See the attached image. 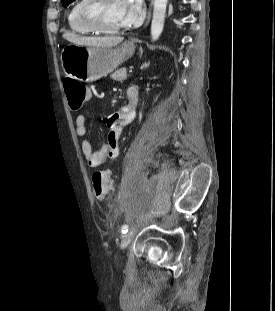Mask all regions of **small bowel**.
Wrapping results in <instances>:
<instances>
[{
  "mask_svg": "<svg viewBox=\"0 0 275 311\" xmlns=\"http://www.w3.org/2000/svg\"><path fill=\"white\" fill-rule=\"evenodd\" d=\"M129 104L122 106L116 110L107 119V137L106 141L98 150H93L92 145L88 139H83L81 142V150L84 159L89 167L96 168L103 165L107 159L118 156V142L122 134L123 128L133 121L135 116V104H132L130 97L138 100L139 92L135 87H131L127 91ZM75 132L78 137H84L87 133L86 115L80 114L75 120Z\"/></svg>",
  "mask_w": 275,
  "mask_h": 311,
  "instance_id": "obj_1",
  "label": "small bowel"
}]
</instances>
